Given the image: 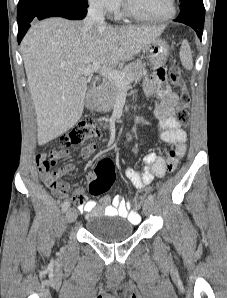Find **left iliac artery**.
<instances>
[{"label":"left iliac artery","mask_w":227,"mask_h":298,"mask_svg":"<svg viewBox=\"0 0 227 298\" xmlns=\"http://www.w3.org/2000/svg\"><path fill=\"white\" fill-rule=\"evenodd\" d=\"M148 200L153 201L154 200V196L153 195H149L148 196Z\"/></svg>","instance_id":"44dca946"}]
</instances>
